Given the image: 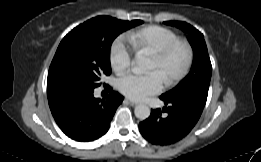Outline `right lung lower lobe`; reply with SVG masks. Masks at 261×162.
<instances>
[{
  "label": "right lung lower lobe",
  "mask_w": 261,
  "mask_h": 162,
  "mask_svg": "<svg viewBox=\"0 0 261 162\" xmlns=\"http://www.w3.org/2000/svg\"><path fill=\"white\" fill-rule=\"evenodd\" d=\"M94 90L66 88L48 98L52 115L71 139L88 142L106 134L110 121L123 97L110 92L106 99H96Z\"/></svg>",
  "instance_id": "98d812e1"
}]
</instances>
